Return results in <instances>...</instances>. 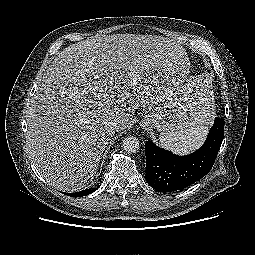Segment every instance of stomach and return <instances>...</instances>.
Wrapping results in <instances>:
<instances>
[{
	"mask_svg": "<svg viewBox=\"0 0 255 255\" xmlns=\"http://www.w3.org/2000/svg\"><path fill=\"white\" fill-rule=\"evenodd\" d=\"M188 106L182 84L175 85L158 107L142 119L141 125L150 126L163 132L183 131L190 127L191 120L187 114Z\"/></svg>",
	"mask_w": 255,
	"mask_h": 255,
	"instance_id": "1",
	"label": "stomach"
}]
</instances>
